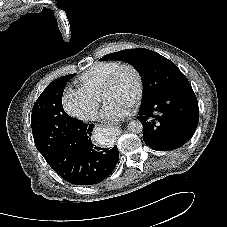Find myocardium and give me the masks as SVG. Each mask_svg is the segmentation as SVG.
<instances>
[{"label":"myocardium","mask_w":227,"mask_h":227,"mask_svg":"<svg viewBox=\"0 0 227 227\" xmlns=\"http://www.w3.org/2000/svg\"><path fill=\"white\" fill-rule=\"evenodd\" d=\"M126 70L131 71L134 74L136 79V91H135L134 98L132 100V104L136 105L141 100L144 93V78L140 69L134 64H131V63L120 64L104 82L101 88V93L113 87L116 84L117 80L119 79L120 75Z\"/></svg>","instance_id":"1"}]
</instances>
